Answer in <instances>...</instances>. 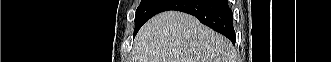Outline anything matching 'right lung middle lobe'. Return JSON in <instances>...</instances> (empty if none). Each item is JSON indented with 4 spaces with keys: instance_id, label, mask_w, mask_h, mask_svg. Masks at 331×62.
Returning <instances> with one entry per match:
<instances>
[{
    "instance_id": "obj_1",
    "label": "right lung middle lobe",
    "mask_w": 331,
    "mask_h": 62,
    "mask_svg": "<svg viewBox=\"0 0 331 62\" xmlns=\"http://www.w3.org/2000/svg\"><path fill=\"white\" fill-rule=\"evenodd\" d=\"M173 0H141L135 15L134 35L151 17L160 13Z\"/></svg>"
}]
</instances>
